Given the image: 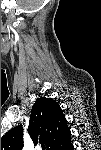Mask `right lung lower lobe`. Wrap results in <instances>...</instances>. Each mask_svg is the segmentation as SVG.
Segmentation results:
<instances>
[{
    "instance_id": "98d812e1",
    "label": "right lung lower lobe",
    "mask_w": 101,
    "mask_h": 150,
    "mask_svg": "<svg viewBox=\"0 0 101 150\" xmlns=\"http://www.w3.org/2000/svg\"><path fill=\"white\" fill-rule=\"evenodd\" d=\"M73 149V145L71 144V142L64 148V150H72Z\"/></svg>"
}]
</instances>
